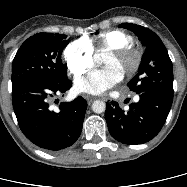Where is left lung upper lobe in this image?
Listing matches in <instances>:
<instances>
[{
	"mask_svg": "<svg viewBox=\"0 0 187 187\" xmlns=\"http://www.w3.org/2000/svg\"><path fill=\"white\" fill-rule=\"evenodd\" d=\"M119 27L133 31L146 48L137 75L127 84L130 90L135 93L159 91L173 94L172 62L161 39L140 25L122 23Z\"/></svg>",
	"mask_w": 187,
	"mask_h": 187,
	"instance_id": "left-lung-upper-lobe-1",
	"label": "left lung upper lobe"
}]
</instances>
